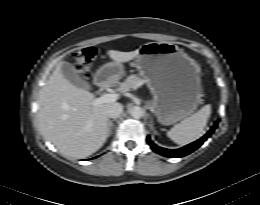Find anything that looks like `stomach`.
I'll list each match as a JSON object with an SVG mask.
<instances>
[{
	"mask_svg": "<svg viewBox=\"0 0 260 205\" xmlns=\"http://www.w3.org/2000/svg\"><path fill=\"white\" fill-rule=\"evenodd\" d=\"M136 66L147 83L155 115L162 125H172L191 115L202 103L199 68L183 49L170 42H149L139 48ZM121 64L112 61L97 72L101 83L117 82Z\"/></svg>",
	"mask_w": 260,
	"mask_h": 205,
	"instance_id": "stomach-1",
	"label": "stomach"
}]
</instances>
